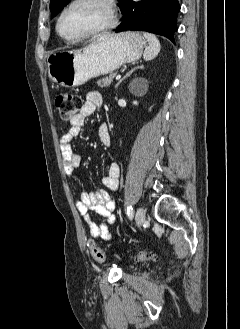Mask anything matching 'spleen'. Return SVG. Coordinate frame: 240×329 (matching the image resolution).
Segmentation results:
<instances>
[{
	"label": "spleen",
	"mask_w": 240,
	"mask_h": 329,
	"mask_svg": "<svg viewBox=\"0 0 240 329\" xmlns=\"http://www.w3.org/2000/svg\"><path fill=\"white\" fill-rule=\"evenodd\" d=\"M144 37L148 41V46L145 48L143 58L146 61L154 59L160 52L161 45L158 38L151 33H144Z\"/></svg>",
	"instance_id": "3e777b00"
}]
</instances>
